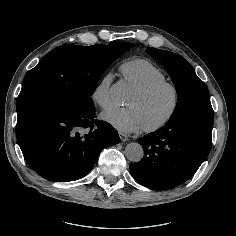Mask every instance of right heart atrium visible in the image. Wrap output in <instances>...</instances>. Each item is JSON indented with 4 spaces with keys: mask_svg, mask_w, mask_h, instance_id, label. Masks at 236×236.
Returning <instances> with one entry per match:
<instances>
[{
    "mask_svg": "<svg viewBox=\"0 0 236 236\" xmlns=\"http://www.w3.org/2000/svg\"><path fill=\"white\" fill-rule=\"evenodd\" d=\"M113 81V73L107 72L92 89V100L103 109L109 108L113 103V98L111 95Z\"/></svg>",
    "mask_w": 236,
    "mask_h": 236,
    "instance_id": "right-heart-atrium-1",
    "label": "right heart atrium"
}]
</instances>
